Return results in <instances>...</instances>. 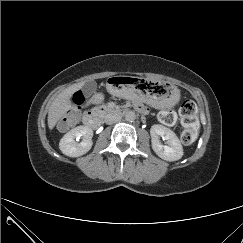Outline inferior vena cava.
<instances>
[{
  "label": "inferior vena cava",
  "mask_w": 243,
  "mask_h": 243,
  "mask_svg": "<svg viewBox=\"0 0 243 243\" xmlns=\"http://www.w3.org/2000/svg\"><path fill=\"white\" fill-rule=\"evenodd\" d=\"M121 120V116L117 113H109L105 116V123L106 124H114Z\"/></svg>",
  "instance_id": "602c4592"
}]
</instances>
